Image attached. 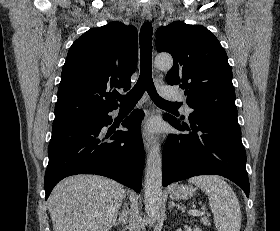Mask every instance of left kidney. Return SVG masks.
Wrapping results in <instances>:
<instances>
[{
    "label": "left kidney",
    "instance_id": "5707ae66",
    "mask_svg": "<svg viewBox=\"0 0 280 231\" xmlns=\"http://www.w3.org/2000/svg\"><path fill=\"white\" fill-rule=\"evenodd\" d=\"M193 231H202V229L200 227H194Z\"/></svg>",
    "mask_w": 280,
    "mask_h": 231
}]
</instances>
